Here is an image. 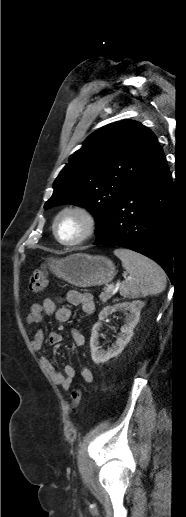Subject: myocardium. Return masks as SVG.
<instances>
[{"instance_id":"obj_1","label":"myocardium","mask_w":186,"mask_h":517,"mask_svg":"<svg viewBox=\"0 0 186 517\" xmlns=\"http://www.w3.org/2000/svg\"><path fill=\"white\" fill-rule=\"evenodd\" d=\"M66 214H75L78 215L84 223V230L83 232L72 241H64L62 240L58 233H57V224L60 218ZM96 217L95 215L85 206L79 205V204H72L68 205L64 208H62L54 217L52 222V232L57 240L61 245L67 246V247H73L77 246L83 242H85L87 239H89L96 230Z\"/></svg>"}]
</instances>
